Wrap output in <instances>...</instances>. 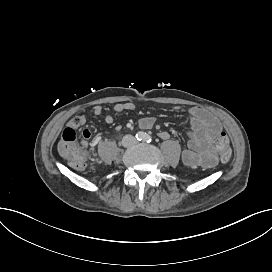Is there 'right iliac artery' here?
I'll list each match as a JSON object with an SVG mask.
<instances>
[{"mask_svg": "<svg viewBox=\"0 0 272 272\" xmlns=\"http://www.w3.org/2000/svg\"><path fill=\"white\" fill-rule=\"evenodd\" d=\"M145 134H146V133H144V132H138V133L136 134V139H137L138 141L144 140Z\"/></svg>", "mask_w": 272, "mask_h": 272, "instance_id": "1", "label": "right iliac artery"}]
</instances>
